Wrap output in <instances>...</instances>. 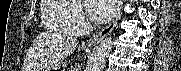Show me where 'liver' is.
Wrapping results in <instances>:
<instances>
[{
    "label": "liver",
    "mask_w": 181,
    "mask_h": 71,
    "mask_svg": "<svg viewBox=\"0 0 181 71\" xmlns=\"http://www.w3.org/2000/svg\"><path fill=\"white\" fill-rule=\"evenodd\" d=\"M77 47L75 38L58 33H41L33 42L26 58V71H40L61 63Z\"/></svg>",
    "instance_id": "liver-1"
}]
</instances>
